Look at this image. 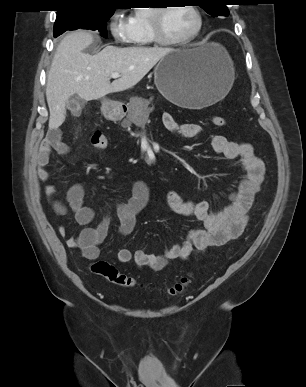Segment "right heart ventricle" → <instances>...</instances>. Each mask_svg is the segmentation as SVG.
<instances>
[{
  "mask_svg": "<svg viewBox=\"0 0 306 387\" xmlns=\"http://www.w3.org/2000/svg\"><path fill=\"white\" fill-rule=\"evenodd\" d=\"M151 10H136L128 20L131 28L130 42L135 46H151L155 43L149 26V14Z\"/></svg>",
  "mask_w": 306,
  "mask_h": 387,
  "instance_id": "e07e8e85",
  "label": "right heart ventricle"
}]
</instances>
